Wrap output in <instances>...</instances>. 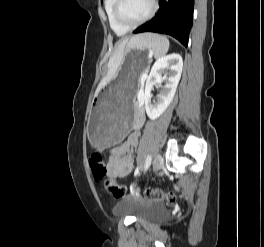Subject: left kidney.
Here are the masks:
<instances>
[{"instance_id": "1", "label": "left kidney", "mask_w": 264, "mask_h": 247, "mask_svg": "<svg viewBox=\"0 0 264 247\" xmlns=\"http://www.w3.org/2000/svg\"><path fill=\"white\" fill-rule=\"evenodd\" d=\"M183 68V60L179 54L173 53L157 59L153 64L150 74L146 79L144 102L147 116L151 120L157 119L170 105ZM162 74H165L162 76ZM166 82L157 96L155 104L151 102V90L153 84L157 83L161 86L162 82Z\"/></svg>"}]
</instances>
